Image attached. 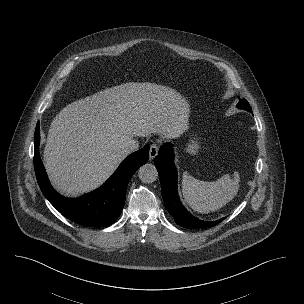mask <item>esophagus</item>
<instances>
[{
  "instance_id": "obj_1",
  "label": "esophagus",
  "mask_w": 304,
  "mask_h": 304,
  "mask_svg": "<svg viewBox=\"0 0 304 304\" xmlns=\"http://www.w3.org/2000/svg\"><path fill=\"white\" fill-rule=\"evenodd\" d=\"M158 150H159L158 145L153 143L149 150V157L151 160H153L156 157V155L158 154Z\"/></svg>"
}]
</instances>
